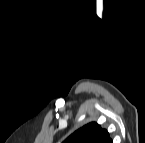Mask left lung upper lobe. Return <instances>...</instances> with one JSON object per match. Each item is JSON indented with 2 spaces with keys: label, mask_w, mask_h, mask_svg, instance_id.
<instances>
[{
  "label": "left lung upper lobe",
  "mask_w": 145,
  "mask_h": 143,
  "mask_svg": "<svg viewBox=\"0 0 145 143\" xmlns=\"http://www.w3.org/2000/svg\"><path fill=\"white\" fill-rule=\"evenodd\" d=\"M65 143H112V140L107 130L92 122L75 131Z\"/></svg>",
  "instance_id": "left-lung-upper-lobe-1"
}]
</instances>
